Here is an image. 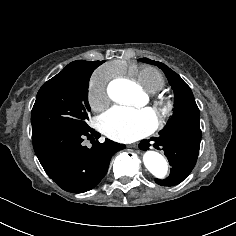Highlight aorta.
Wrapping results in <instances>:
<instances>
[{
	"label": "aorta",
	"instance_id": "1",
	"mask_svg": "<svg viewBox=\"0 0 236 236\" xmlns=\"http://www.w3.org/2000/svg\"><path fill=\"white\" fill-rule=\"evenodd\" d=\"M110 95L114 100L130 103L136 95V86L129 80H121L110 85ZM143 162L148 171L156 178L163 179L167 176L168 163L158 152L147 150L143 155Z\"/></svg>",
	"mask_w": 236,
	"mask_h": 236
}]
</instances>
